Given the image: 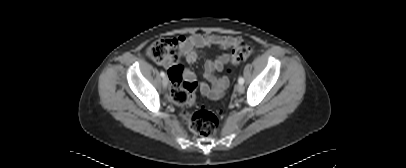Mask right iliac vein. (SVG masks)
<instances>
[{
	"label": "right iliac vein",
	"instance_id": "right-iliac-vein-1",
	"mask_svg": "<svg viewBox=\"0 0 406 168\" xmlns=\"http://www.w3.org/2000/svg\"><path fill=\"white\" fill-rule=\"evenodd\" d=\"M162 85H163L164 88H167V86H168V77L167 76L163 77Z\"/></svg>",
	"mask_w": 406,
	"mask_h": 168
}]
</instances>
